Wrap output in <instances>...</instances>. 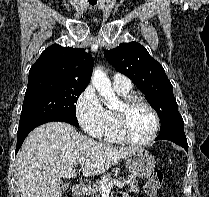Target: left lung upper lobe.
Returning a JSON list of instances; mask_svg holds the SVG:
<instances>
[{"label":"left lung upper lobe","instance_id":"1","mask_svg":"<svg viewBox=\"0 0 209 197\" xmlns=\"http://www.w3.org/2000/svg\"><path fill=\"white\" fill-rule=\"evenodd\" d=\"M104 55L117 71L129 77L146 95L160 117V133L184 128L172 84L162 65L142 45L137 42L122 43L117 48L106 50Z\"/></svg>","mask_w":209,"mask_h":197}]
</instances>
